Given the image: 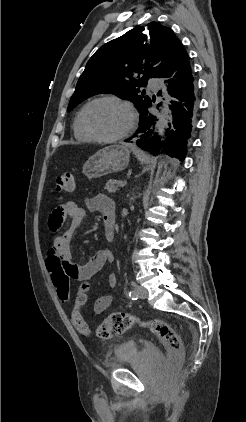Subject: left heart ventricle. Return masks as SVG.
I'll list each match as a JSON object with an SVG mask.
<instances>
[{"label": "left heart ventricle", "instance_id": "1", "mask_svg": "<svg viewBox=\"0 0 246 422\" xmlns=\"http://www.w3.org/2000/svg\"><path fill=\"white\" fill-rule=\"evenodd\" d=\"M88 122L96 134L112 137L126 129L129 116L122 105L113 101H102L89 109Z\"/></svg>", "mask_w": 246, "mask_h": 422}]
</instances>
